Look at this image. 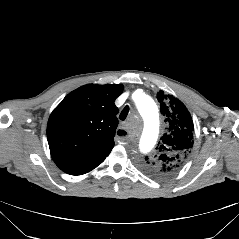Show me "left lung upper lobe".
Returning <instances> with one entry per match:
<instances>
[{"mask_svg":"<svg viewBox=\"0 0 239 239\" xmlns=\"http://www.w3.org/2000/svg\"><path fill=\"white\" fill-rule=\"evenodd\" d=\"M161 113L165 117L166 132L156 152L145 157L141 168L157 178H166L180 170L188 160L193 147L194 124L185 105L171 94H157Z\"/></svg>","mask_w":239,"mask_h":239,"instance_id":"5c2ea615","label":"left lung upper lobe"}]
</instances>
